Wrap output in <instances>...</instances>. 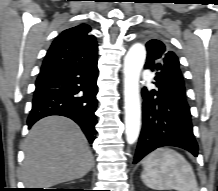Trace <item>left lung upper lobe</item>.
I'll return each mask as SVG.
<instances>
[{"instance_id": "1", "label": "left lung upper lobe", "mask_w": 218, "mask_h": 191, "mask_svg": "<svg viewBox=\"0 0 218 191\" xmlns=\"http://www.w3.org/2000/svg\"><path fill=\"white\" fill-rule=\"evenodd\" d=\"M147 62L152 70L163 79V88L185 92L183 75L180 70L178 57L169 50L163 42L152 39L147 42Z\"/></svg>"}]
</instances>
